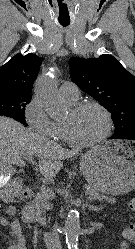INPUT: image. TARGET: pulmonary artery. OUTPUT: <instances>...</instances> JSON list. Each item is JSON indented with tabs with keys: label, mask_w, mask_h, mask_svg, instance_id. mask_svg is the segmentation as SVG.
Returning <instances> with one entry per match:
<instances>
[{
	"label": "pulmonary artery",
	"mask_w": 135,
	"mask_h": 249,
	"mask_svg": "<svg viewBox=\"0 0 135 249\" xmlns=\"http://www.w3.org/2000/svg\"><path fill=\"white\" fill-rule=\"evenodd\" d=\"M60 94L61 96L68 100V101H72L75 102L79 99L80 96V90L78 88V86L71 82V81H66L64 82L60 88H59Z\"/></svg>",
	"instance_id": "e3ab8cb5"
}]
</instances>
